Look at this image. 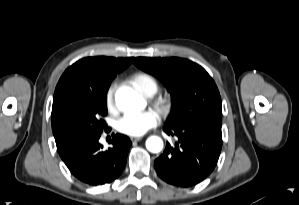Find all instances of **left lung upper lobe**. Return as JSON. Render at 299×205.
<instances>
[{
  "mask_svg": "<svg viewBox=\"0 0 299 205\" xmlns=\"http://www.w3.org/2000/svg\"><path fill=\"white\" fill-rule=\"evenodd\" d=\"M134 64L157 77L171 93L174 109L167 125L222 118V102L218 88L200 65L177 57H137Z\"/></svg>",
  "mask_w": 299,
  "mask_h": 205,
  "instance_id": "5c2ea615",
  "label": "left lung upper lobe"
}]
</instances>
